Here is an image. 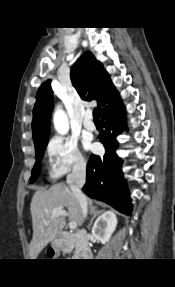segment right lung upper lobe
<instances>
[{
  "label": "right lung upper lobe",
  "instance_id": "1",
  "mask_svg": "<svg viewBox=\"0 0 175 287\" xmlns=\"http://www.w3.org/2000/svg\"><path fill=\"white\" fill-rule=\"evenodd\" d=\"M71 81L84 100H97L100 115L119 103L121 99L103 65L90 52L84 53L71 69ZM51 80L39 88L33 109V139L38 143L49 137L50 115L53 108Z\"/></svg>",
  "mask_w": 175,
  "mask_h": 287
}]
</instances>
